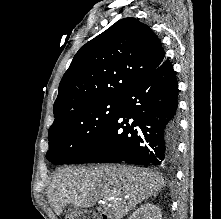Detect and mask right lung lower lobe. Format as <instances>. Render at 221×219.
Returning <instances> with one entry per match:
<instances>
[{
	"label": "right lung lower lobe",
	"mask_w": 221,
	"mask_h": 219,
	"mask_svg": "<svg viewBox=\"0 0 221 219\" xmlns=\"http://www.w3.org/2000/svg\"><path fill=\"white\" fill-rule=\"evenodd\" d=\"M178 89L170 61L134 84L100 136L66 164L117 163L165 166L176 157Z\"/></svg>",
	"instance_id": "right-lung-lower-lobe-1"
}]
</instances>
